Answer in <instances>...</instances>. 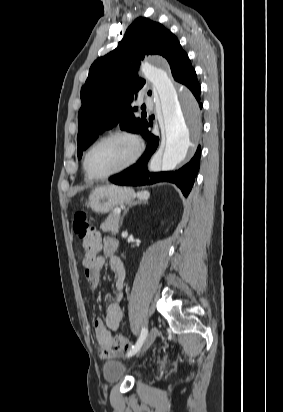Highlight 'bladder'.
I'll list each match as a JSON object with an SVG mask.
<instances>
[{
	"instance_id": "obj_1",
	"label": "bladder",
	"mask_w": 283,
	"mask_h": 412,
	"mask_svg": "<svg viewBox=\"0 0 283 412\" xmlns=\"http://www.w3.org/2000/svg\"><path fill=\"white\" fill-rule=\"evenodd\" d=\"M126 375L132 376L134 381L141 378V374L139 372H130L123 362L108 361L103 365V376L111 383L120 381Z\"/></svg>"
}]
</instances>
